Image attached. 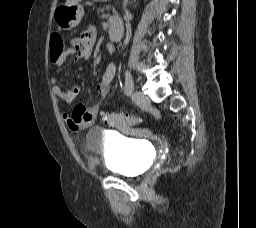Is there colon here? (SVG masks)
<instances>
[{
    "instance_id": "1",
    "label": "colon",
    "mask_w": 256,
    "mask_h": 228,
    "mask_svg": "<svg viewBox=\"0 0 256 228\" xmlns=\"http://www.w3.org/2000/svg\"><path fill=\"white\" fill-rule=\"evenodd\" d=\"M50 47V57L52 59H55L60 54H62V52L64 51V42L59 34H52L50 39ZM103 121L105 124L112 127H123L137 124L139 122V118L137 116L122 113H105L103 115Z\"/></svg>"
}]
</instances>
